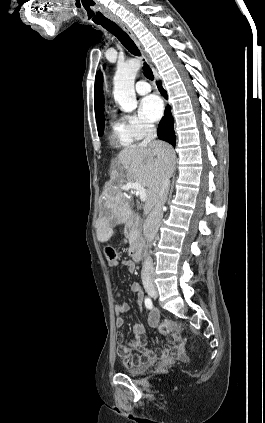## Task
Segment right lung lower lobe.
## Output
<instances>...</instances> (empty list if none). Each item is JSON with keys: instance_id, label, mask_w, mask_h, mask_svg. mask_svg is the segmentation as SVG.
Masks as SVG:
<instances>
[{"instance_id": "1", "label": "right lung lower lobe", "mask_w": 265, "mask_h": 423, "mask_svg": "<svg viewBox=\"0 0 265 423\" xmlns=\"http://www.w3.org/2000/svg\"><path fill=\"white\" fill-rule=\"evenodd\" d=\"M157 86L161 94L166 97V91L162 88L161 84L157 83ZM173 127L174 120L171 115L170 106H167L164 117L162 118L158 126V138L175 146L176 138Z\"/></svg>"}]
</instances>
